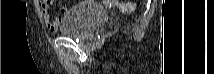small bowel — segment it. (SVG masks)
<instances>
[{"label":"small bowel","instance_id":"small-bowel-1","mask_svg":"<svg viewBox=\"0 0 214 74\" xmlns=\"http://www.w3.org/2000/svg\"><path fill=\"white\" fill-rule=\"evenodd\" d=\"M51 1L50 0H43L41 1V11L43 15V19L45 21V24L47 28L52 31L56 32L59 30V25L62 21L61 17H55L52 18L50 15V6H51ZM61 13L65 14L68 11V7L66 5H63L60 8Z\"/></svg>","mask_w":214,"mask_h":74}]
</instances>
